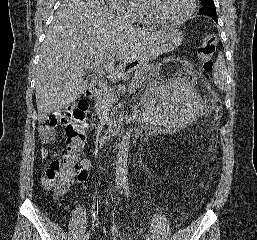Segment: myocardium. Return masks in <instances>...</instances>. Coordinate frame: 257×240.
Returning a JSON list of instances; mask_svg holds the SVG:
<instances>
[{"label":"myocardium","mask_w":257,"mask_h":240,"mask_svg":"<svg viewBox=\"0 0 257 240\" xmlns=\"http://www.w3.org/2000/svg\"><path fill=\"white\" fill-rule=\"evenodd\" d=\"M145 1H146V7L148 10V13L151 16V18L155 20L158 24H162V25H172V26L180 25L186 22L191 17V15L195 10V0H188V8L186 12L178 18L169 19L161 16L156 11L154 6V0H145Z\"/></svg>","instance_id":"myocardium-1"}]
</instances>
